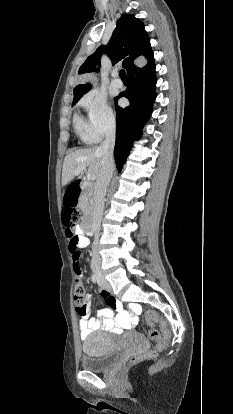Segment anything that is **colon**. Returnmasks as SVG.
Here are the masks:
<instances>
[{
  "mask_svg": "<svg viewBox=\"0 0 233 414\" xmlns=\"http://www.w3.org/2000/svg\"><path fill=\"white\" fill-rule=\"evenodd\" d=\"M80 219V214L77 210H73L72 212H65L63 215L64 224L66 226V235L69 239V251L71 256L73 257L74 251H79V248L77 246L76 241V233L74 230V227L76 223ZM81 256V252H80ZM80 258V257H79ZM73 295H74V305L75 308L77 305H83L84 302H88L86 293H85V287L83 284V277L81 279L74 280V287H73ZM77 312V311H76ZM78 315L81 314V312H77ZM145 320L146 324L148 325L149 329L147 330L148 337L156 343V348L153 351L149 352L150 356H155L159 351L163 350L166 344V340L168 337V331L166 330L164 323L158 318L157 314L149 310L145 313ZM160 323L163 327V335L160 334V332L154 328V325ZM139 358L137 356H133L129 359L128 363L130 365L135 364Z\"/></svg>",
  "mask_w": 233,
  "mask_h": 414,
  "instance_id": "5ec220e1",
  "label": "colon"
}]
</instances>
